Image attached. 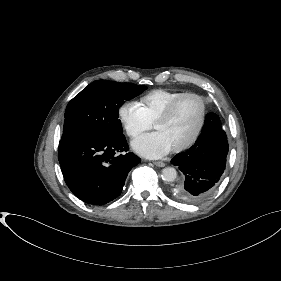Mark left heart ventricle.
I'll list each match as a JSON object with an SVG mask.
<instances>
[{
  "label": "left heart ventricle",
  "mask_w": 281,
  "mask_h": 281,
  "mask_svg": "<svg viewBox=\"0 0 281 281\" xmlns=\"http://www.w3.org/2000/svg\"><path fill=\"white\" fill-rule=\"evenodd\" d=\"M200 113V102L196 98H187L177 105L166 120L157 123L155 130L173 149L191 138L199 123Z\"/></svg>",
  "instance_id": "left-heart-ventricle-1"
}]
</instances>
